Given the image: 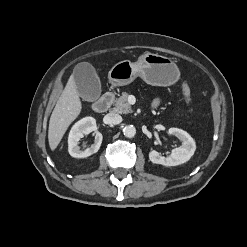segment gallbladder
Here are the masks:
<instances>
[{"mask_svg": "<svg viewBox=\"0 0 247 247\" xmlns=\"http://www.w3.org/2000/svg\"><path fill=\"white\" fill-rule=\"evenodd\" d=\"M73 77L77 92L85 101H96L101 94L100 79L94 67L88 62H82L75 66Z\"/></svg>", "mask_w": 247, "mask_h": 247, "instance_id": "1", "label": "gallbladder"}]
</instances>
